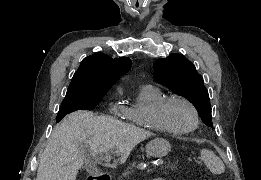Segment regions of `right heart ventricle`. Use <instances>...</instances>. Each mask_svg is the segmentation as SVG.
I'll use <instances>...</instances> for the list:
<instances>
[{
    "mask_svg": "<svg viewBox=\"0 0 261 180\" xmlns=\"http://www.w3.org/2000/svg\"><path fill=\"white\" fill-rule=\"evenodd\" d=\"M166 97V94L155 86H142L132 98V102L129 106L120 107L123 122H132V127H144V131H152V136H148L147 138L162 137L172 140L182 139L184 136H166L160 134L151 118L153 110Z\"/></svg>",
    "mask_w": 261,
    "mask_h": 180,
    "instance_id": "1",
    "label": "right heart ventricle"
}]
</instances>
